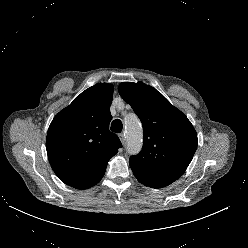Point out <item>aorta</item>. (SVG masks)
Returning <instances> with one entry per match:
<instances>
[{"label": "aorta", "instance_id": "obj_1", "mask_svg": "<svg viewBox=\"0 0 248 248\" xmlns=\"http://www.w3.org/2000/svg\"><path fill=\"white\" fill-rule=\"evenodd\" d=\"M127 149L130 153L138 152L142 147V128L137 118L126 120Z\"/></svg>", "mask_w": 248, "mask_h": 248}]
</instances>
